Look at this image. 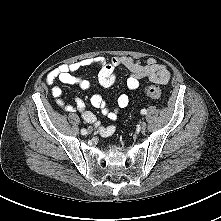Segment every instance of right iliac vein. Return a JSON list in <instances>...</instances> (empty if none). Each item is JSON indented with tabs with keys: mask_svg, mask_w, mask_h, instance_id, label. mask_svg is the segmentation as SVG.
Segmentation results:
<instances>
[{
	"mask_svg": "<svg viewBox=\"0 0 221 221\" xmlns=\"http://www.w3.org/2000/svg\"><path fill=\"white\" fill-rule=\"evenodd\" d=\"M91 132H92V129H91V128H89V129H88V133H91Z\"/></svg>",
	"mask_w": 221,
	"mask_h": 221,
	"instance_id": "right-iliac-vein-1",
	"label": "right iliac vein"
}]
</instances>
